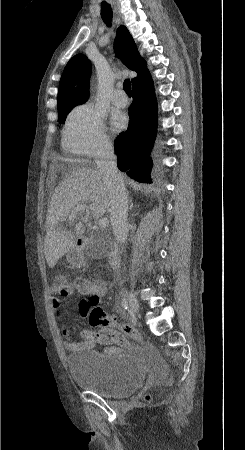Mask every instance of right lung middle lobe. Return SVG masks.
<instances>
[{
    "mask_svg": "<svg viewBox=\"0 0 245 450\" xmlns=\"http://www.w3.org/2000/svg\"><path fill=\"white\" fill-rule=\"evenodd\" d=\"M76 105H79V103H67V104H63V105L58 106V116H59V122L60 123H62L64 121L65 116Z\"/></svg>",
    "mask_w": 245,
    "mask_h": 450,
    "instance_id": "right-lung-middle-lobe-1",
    "label": "right lung middle lobe"
}]
</instances>
